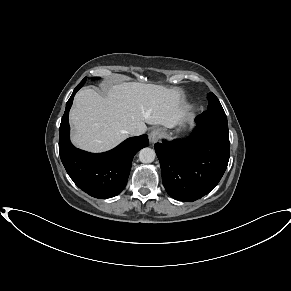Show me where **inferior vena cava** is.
Masks as SVG:
<instances>
[{
    "instance_id": "602c4592",
    "label": "inferior vena cava",
    "mask_w": 291,
    "mask_h": 291,
    "mask_svg": "<svg viewBox=\"0 0 291 291\" xmlns=\"http://www.w3.org/2000/svg\"><path fill=\"white\" fill-rule=\"evenodd\" d=\"M143 133H144V131L141 130V129H133V130H131L130 135H132V136H139V135H141Z\"/></svg>"
}]
</instances>
